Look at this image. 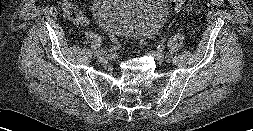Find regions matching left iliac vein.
<instances>
[{"mask_svg": "<svg viewBox=\"0 0 253 131\" xmlns=\"http://www.w3.org/2000/svg\"><path fill=\"white\" fill-rule=\"evenodd\" d=\"M151 55L159 62H162L164 60L170 61L172 59L171 55H164L162 52L157 51H151Z\"/></svg>", "mask_w": 253, "mask_h": 131, "instance_id": "4c4485c4", "label": "left iliac vein"}]
</instances>
